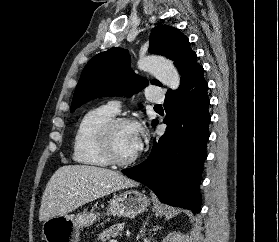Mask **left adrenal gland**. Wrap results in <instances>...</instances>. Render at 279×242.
I'll list each match as a JSON object with an SVG mask.
<instances>
[{"instance_id":"obj_1","label":"left adrenal gland","mask_w":279,"mask_h":242,"mask_svg":"<svg viewBox=\"0 0 279 242\" xmlns=\"http://www.w3.org/2000/svg\"><path fill=\"white\" fill-rule=\"evenodd\" d=\"M145 225H146V223H145ZM145 225H144V228L141 230L142 236H143L144 233H145Z\"/></svg>"}]
</instances>
